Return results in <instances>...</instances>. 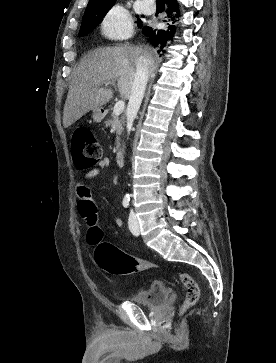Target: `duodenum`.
<instances>
[{
	"instance_id": "1",
	"label": "duodenum",
	"mask_w": 276,
	"mask_h": 363,
	"mask_svg": "<svg viewBox=\"0 0 276 363\" xmlns=\"http://www.w3.org/2000/svg\"><path fill=\"white\" fill-rule=\"evenodd\" d=\"M115 160L117 165L121 166L124 163V152L123 151H117L115 155Z\"/></svg>"
}]
</instances>
